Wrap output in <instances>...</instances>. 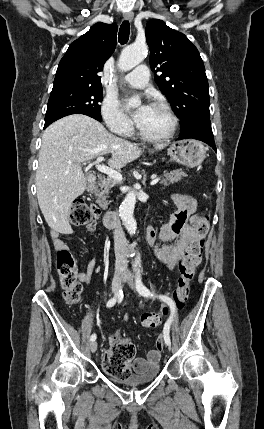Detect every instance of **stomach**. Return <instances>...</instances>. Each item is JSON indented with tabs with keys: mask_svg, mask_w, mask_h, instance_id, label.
Returning <instances> with one entry per match:
<instances>
[{
	"mask_svg": "<svg viewBox=\"0 0 264 429\" xmlns=\"http://www.w3.org/2000/svg\"><path fill=\"white\" fill-rule=\"evenodd\" d=\"M168 154L172 160L187 167H195L203 162L206 156V149L200 141L181 140L171 144Z\"/></svg>",
	"mask_w": 264,
	"mask_h": 429,
	"instance_id": "1",
	"label": "stomach"
}]
</instances>
